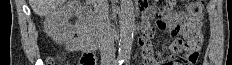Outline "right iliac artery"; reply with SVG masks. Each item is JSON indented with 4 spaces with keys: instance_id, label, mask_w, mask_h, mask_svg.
<instances>
[{
    "instance_id": "obj_1",
    "label": "right iliac artery",
    "mask_w": 232,
    "mask_h": 65,
    "mask_svg": "<svg viewBox=\"0 0 232 65\" xmlns=\"http://www.w3.org/2000/svg\"><path fill=\"white\" fill-rule=\"evenodd\" d=\"M124 62V59L122 57H118L117 60L115 61V65H122Z\"/></svg>"
}]
</instances>
